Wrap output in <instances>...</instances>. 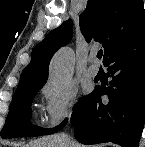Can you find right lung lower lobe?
Segmentation results:
<instances>
[{
    "mask_svg": "<svg viewBox=\"0 0 145 147\" xmlns=\"http://www.w3.org/2000/svg\"><path fill=\"white\" fill-rule=\"evenodd\" d=\"M104 65L113 79L106 88L96 87L71 116L75 138L86 145L138 147L145 123V27L128 37Z\"/></svg>",
    "mask_w": 145,
    "mask_h": 147,
    "instance_id": "obj_1",
    "label": "right lung lower lobe"
}]
</instances>
